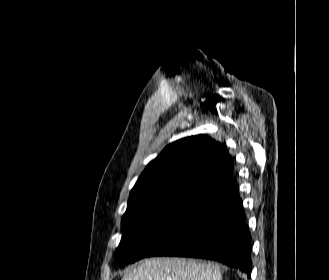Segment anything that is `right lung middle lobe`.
<instances>
[{
    "label": "right lung middle lobe",
    "mask_w": 329,
    "mask_h": 280,
    "mask_svg": "<svg viewBox=\"0 0 329 280\" xmlns=\"http://www.w3.org/2000/svg\"><path fill=\"white\" fill-rule=\"evenodd\" d=\"M205 199L180 195L153 200L122 218V238L115 253L119 265L148 257L204 203Z\"/></svg>",
    "instance_id": "right-lung-middle-lobe-1"
}]
</instances>
